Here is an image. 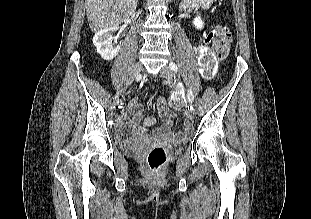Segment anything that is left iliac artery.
Masks as SVG:
<instances>
[{"instance_id":"1","label":"left iliac artery","mask_w":311,"mask_h":219,"mask_svg":"<svg viewBox=\"0 0 311 219\" xmlns=\"http://www.w3.org/2000/svg\"><path fill=\"white\" fill-rule=\"evenodd\" d=\"M169 67H170V69H171L172 71H174V72H177V71H178V67H177V65H176L174 62H171V63L169 64ZM187 98H188V101H189L190 103L193 102V100H194V95H193L192 90H188V92H187Z\"/></svg>"}]
</instances>
